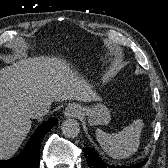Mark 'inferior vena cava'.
Masks as SVG:
<instances>
[{"label":"inferior vena cava","instance_id":"1","mask_svg":"<svg viewBox=\"0 0 168 168\" xmlns=\"http://www.w3.org/2000/svg\"><path fill=\"white\" fill-rule=\"evenodd\" d=\"M51 103H40L36 105L30 112V118L36 119L45 116L50 109Z\"/></svg>","mask_w":168,"mask_h":168}]
</instances>
